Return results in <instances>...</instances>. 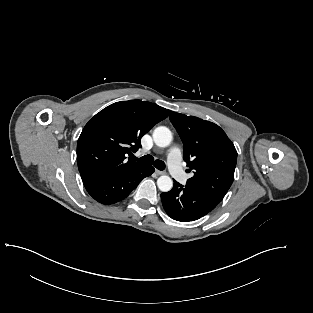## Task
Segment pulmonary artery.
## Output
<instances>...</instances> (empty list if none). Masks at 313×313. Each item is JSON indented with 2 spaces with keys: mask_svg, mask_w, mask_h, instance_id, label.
Returning a JSON list of instances; mask_svg holds the SVG:
<instances>
[{
  "mask_svg": "<svg viewBox=\"0 0 313 313\" xmlns=\"http://www.w3.org/2000/svg\"><path fill=\"white\" fill-rule=\"evenodd\" d=\"M181 150L179 147H172L168 152V167L172 176L180 183H186L187 175L181 166Z\"/></svg>",
  "mask_w": 313,
  "mask_h": 313,
  "instance_id": "obj_1",
  "label": "pulmonary artery"
}]
</instances>
